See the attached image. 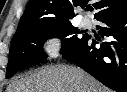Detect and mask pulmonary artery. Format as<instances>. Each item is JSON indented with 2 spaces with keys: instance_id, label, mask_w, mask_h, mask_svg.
I'll use <instances>...</instances> for the list:
<instances>
[{
  "instance_id": "e3ab8cb5",
  "label": "pulmonary artery",
  "mask_w": 127,
  "mask_h": 92,
  "mask_svg": "<svg viewBox=\"0 0 127 92\" xmlns=\"http://www.w3.org/2000/svg\"><path fill=\"white\" fill-rule=\"evenodd\" d=\"M81 24L84 28H89L91 26L92 22L89 17L85 16L82 18Z\"/></svg>"
}]
</instances>
